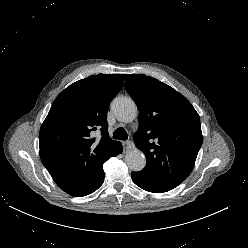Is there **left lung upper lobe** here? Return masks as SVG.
<instances>
[{
  "mask_svg": "<svg viewBox=\"0 0 248 248\" xmlns=\"http://www.w3.org/2000/svg\"><path fill=\"white\" fill-rule=\"evenodd\" d=\"M125 88L139 110L134 142L146 156L149 183L171 190L191 173L203 142L200 117L191 103L165 83L128 74Z\"/></svg>",
  "mask_w": 248,
  "mask_h": 248,
  "instance_id": "obj_1",
  "label": "left lung upper lobe"
}]
</instances>
